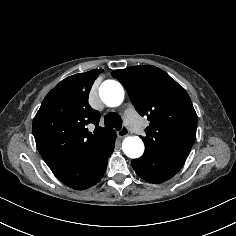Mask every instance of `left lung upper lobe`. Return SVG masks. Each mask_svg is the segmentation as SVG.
Masks as SVG:
<instances>
[{
    "mask_svg": "<svg viewBox=\"0 0 236 236\" xmlns=\"http://www.w3.org/2000/svg\"><path fill=\"white\" fill-rule=\"evenodd\" d=\"M138 113L150 121L142 137L146 151H163L186 159L196 138L197 114L187 92L152 65L115 70Z\"/></svg>",
    "mask_w": 236,
    "mask_h": 236,
    "instance_id": "5c2ea615",
    "label": "left lung upper lobe"
}]
</instances>
